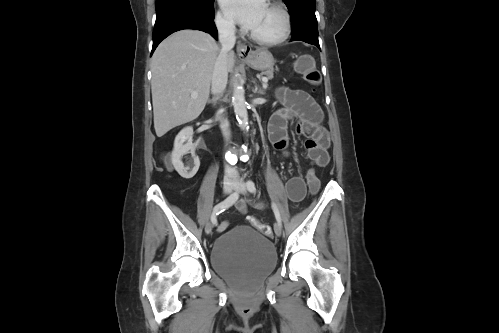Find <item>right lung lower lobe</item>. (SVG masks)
<instances>
[{"label":"right lung lower lobe","mask_w":499,"mask_h":333,"mask_svg":"<svg viewBox=\"0 0 499 333\" xmlns=\"http://www.w3.org/2000/svg\"><path fill=\"white\" fill-rule=\"evenodd\" d=\"M213 20L214 13L208 16H203L192 13L177 12L156 18L153 30L152 53L163 39L173 32L183 29L201 30L209 33L217 40V29Z\"/></svg>","instance_id":"obj_1"}]
</instances>
